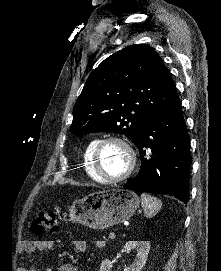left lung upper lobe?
Returning a JSON list of instances; mask_svg holds the SVG:
<instances>
[{
    "instance_id": "5c2ea615",
    "label": "left lung upper lobe",
    "mask_w": 221,
    "mask_h": 271,
    "mask_svg": "<svg viewBox=\"0 0 221 271\" xmlns=\"http://www.w3.org/2000/svg\"><path fill=\"white\" fill-rule=\"evenodd\" d=\"M176 96L170 71L155 50L128 46L90 73L73 109L71 132H116L135 142L141 127Z\"/></svg>"
}]
</instances>
